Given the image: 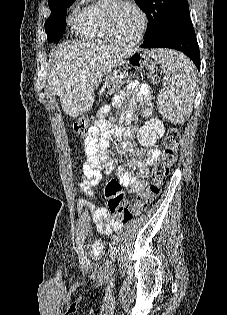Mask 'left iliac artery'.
Wrapping results in <instances>:
<instances>
[{
    "label": "left iliac artery",
    "instance_id": "left-iliac-artery-1",
    "mask_svg": "<svg viewBox=\"0 0 227 315\" xmlns=\"http://www.w3.org/2000/svg\"><path fill=\"white\" fill-rule=\"evenodd\" d=\"M120 241V236L119 235H116L114 237V243H118Z\"/></svg>",
    "mask_w": 227,
    "mask_h": 315
}]
</instances>
